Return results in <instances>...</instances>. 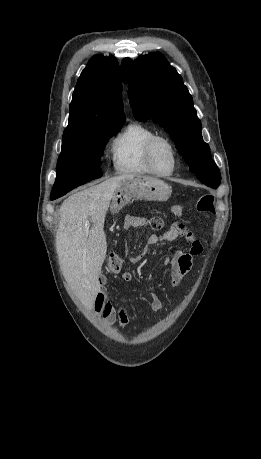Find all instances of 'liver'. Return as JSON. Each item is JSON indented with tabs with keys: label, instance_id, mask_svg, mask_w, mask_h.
<instances>
[{
	"label": "liver",
	"instance_id": "liver-1",
	"mask_svg": "<svg viewBox=\"0 0 261 459\" xmlns=\"http://www.w3.org/2000/svg\"><path fill=\"white\" fill-rule=\"evenodd\" d=\"M127 177L109 178L69 196L60 207L56 249L63 275L79 300L92 308L100 291L99 275L106 258L105 216L116 189ZM92 227L85 228L86 221Z\"/></svg>",
	"mask_w": 261,
	"mask_h": 459
}]
</instances>
